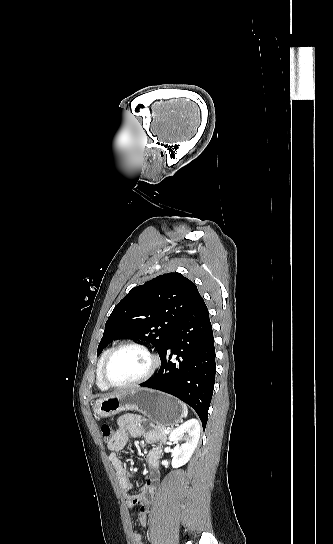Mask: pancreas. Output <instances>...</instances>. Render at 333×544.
Segmentation results:
<instances>
[{
	"label": "pancreas",
	"mask_w": 333,
	"mask_h": 544,
	"mask_svg": "<svg viewBox=\"0 0 333 544\" xmlns=\"http://www.w3.org/2000/svg\"><path fill=\"white\" fill-rule=\"evenodd\" d=\"M153 433H155L156 435H158L162 441H166L167 440V434L165 433V427L163 426H156L154 427L153 429Z\"/></svg>",
	"instance_id": "1"
}]
</instances>
